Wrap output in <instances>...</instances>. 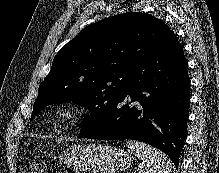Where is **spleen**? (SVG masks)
<instances>
[{
    "label": "spleen",
    "mask_w": 219,
    "mask_h": 173,
    "mask_svg": "<svg viewBox=\"0 0 219 173\" xmlns=\"http://www.w3.org/2000/svg\"><path fill=\"white\" fill-rule=\"evenodd\" d=\"M128 147L134 151L141 161L135 173H171L173 165L161 151L136 140H128Z\"/></svg>",
    "instance_id": "1"
}]
</instances>
